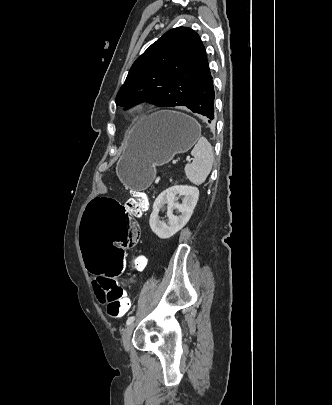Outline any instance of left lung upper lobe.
I'll list each match as a JSON object with an SVG mask.
<instances>
[{
	"instance_id": "left-lung-upper-lobe-1",
	"label": "left lung upper lobe",
	"mask_w": 332,
	"mask_h": 405,
	"mask_svg": "<svg viewBox=\"0 0 332 405\" xmlns=\"http://www.w3.org/2000/svg\"><path fill=\"white\" fill-rule=\"evenodd\" d=\"M207 65L199 35L187 27L171 29L133 63L116 104L127 108L148 100L160 107H187Z\"/></svg>"
}]
</instances>
